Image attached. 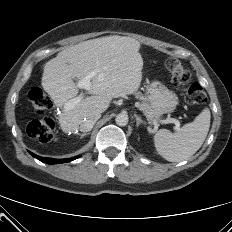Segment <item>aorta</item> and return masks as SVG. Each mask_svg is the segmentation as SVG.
Listing matches in <instances>:
<instances>
[{"instance_id":"aorta-1","label":"aorta","mask_w":232,"mask_h":232,"mask_svg":"<svg viewBox=\"0 0 232 232\" xmlns=\"http://www.w3.org/2000/svg\"><path fill=\"white\" fill-rule=\"evenodd\" d=\"M128 115L125 113H120L116 116L115 121L119 126H126L128 124Z\"/></svg>"}]
</instances>
